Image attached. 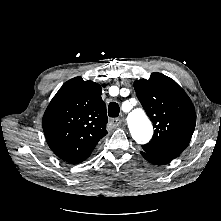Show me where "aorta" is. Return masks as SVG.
Here are the masks:
<instances>
[{
  "label": "aorta",
  "mask_w": 221,
  "mask_h": 221,
  "mask_svg": "<svg viewBox=\"0 0 221 221\" xmlns=\"http://www.w3.org/2000/svg\"><path fill=\"white\" fill-rule=\"evenodd\" d=\"M128 126L133 139L139 144L147 143L153 133V128L149 119L139 111H134L129 115Z\"/></svg>",
  "instance_id": "aorta-1"
}]
</instances>
